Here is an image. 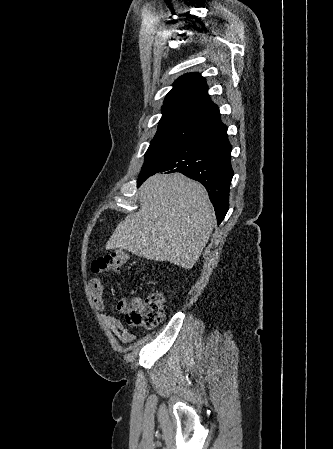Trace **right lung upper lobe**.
Masks as SVG:
<instances>
[{
  "instance_id": "right-lung-upper-lobe-1",
  "label": "right lung upper lobe",
  "mask_w": 333,
  "mask_h": 449,
  "mask_svg": "<svg viewBox=\"0 0 333 449\" xmlns=\"http://www.w3.org/2000/svg\"><path fill=\"white\" fill-rule=\"evenodd\" d=\"M220 121L219 108L209 98L204 77L187 73L166 95L158 128L183 125L204 130Z\"/></svg>"
}]
</instances>
